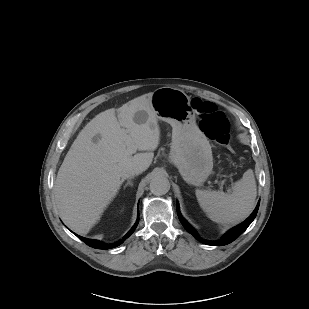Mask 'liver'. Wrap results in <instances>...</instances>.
Here are the masks:
<instances>
[{
	"label": "liver",
	"mask_w": 309,
	"mask_h": 309,
	"mask_svg": "<svg viewBox=\"0 0 309 309\" xmlns=\"http://www.w3.org/2000/svg\"><path fill=\"white\" fill-rule=\"evenodd\" d=\"M152 93L119 109L96 115L79 133L59 168L55 200L62 219L78 234H87L118 193L122 175L132 167L147 170L160 141ZM138 112L147 118L136 123ZM146 151L137 153L136 151Z\"/></svg>",
	"instance_id": "obj_1"
}]
</instances>
